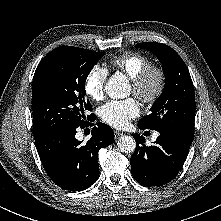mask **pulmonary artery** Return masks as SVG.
I'll return each instance as SVG.
<instances>
[{
  "instance_id": "obj_1",
  "label": "pulmonary artery",
  "mask_w": 221,
  "mask_h": 221,
  "mask_svg": "<svg viewBox=\"0 0 221 221\" xmlns=\"http://www.w3.org/2000/svg\"><path fill=\"white\" fill-rule=\"evenodd\" d=\"M158 133L156 132V133H154V135H153V139H156L157 137H158Z\"/></svg>"
}]
</instances>
